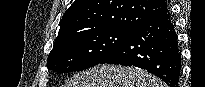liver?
Here are the masks:
<instances>
[{"mask_svg":"<svg viewBox=\"0 0 205 87\" xmlns=\"http://www.w3.org/2000/svg\"><path fill=\"white\" fill-rule=\"evenodd\" d=\"M64 87H164V84L144 70L102 64L76 74Z\"/></svg>","mask_w":205,"mask_h":87,"instance_id":"1","label":"liver"}]
</instances>
